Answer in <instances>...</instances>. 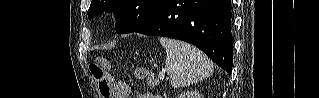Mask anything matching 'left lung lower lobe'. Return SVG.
<instances>
[{
  "instance_id": "left-lung-lower-lobe-1",
  "label": "left lung lower lobe",
  "mask_w": 319,
  "mask_h": 98,
  "mask_svg": "<svg viewBox=\"0 0 319 98\" xmlns=\"http://www.w3.org/2000/svg\"><path fill=\"white\" fill-rule=\"evenodd\" d=\"M230 0H162L135 32L179 39L203 50L228 74L233 66Z\"/></svg>"
}]
</instances>
